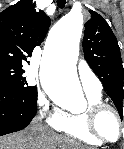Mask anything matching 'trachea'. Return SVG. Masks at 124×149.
I'll return each mask as SVG.
<instances>
[{"label": "trachea", "mask_w": 124, "mask_h": 149, "mask_svg": "<svg viewBox=\"0 0 124 149\" xmlns=\"http://www.w3.org/2000/svg\"><path fill=\"white\" fill-rule=\"evenodd\" d=\"M58 7L63 9L66 5V0H57Z\"/></svg>", "instance_id": "3493384b"}]
</instances>
